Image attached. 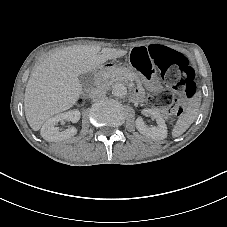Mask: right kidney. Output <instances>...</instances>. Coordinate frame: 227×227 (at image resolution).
I'll list each match as a JSON object with an SVG mask.
<instances>
[{"label":"right kidney","instance_id":"1","mask_svg":"<svg viewBox=\"0 0 227 227\" xmlns=\"http://www.w3.org/2000/svg\"><path fill=\"white\" fill-rule=\"evenodd\" d=\"M81 117V112L78 109L69 110L60 114H57L50 119H48L42 126L40 130L41 136L52 142L62 141L76 134V129L74 127H67L66 129L60 131V128L56 126L57 123L68 120L73 124L79 122Z\"/></svg>","mask_w":227,"mask_h":227}]
</instances>
